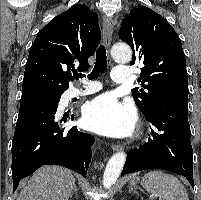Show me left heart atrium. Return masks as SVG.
Segmentation results:
<instances>
[{"label":"left heart atrium","instance_id":"left-heart-atrium-1","mask_svg":"<svg viewBox=\"0 0 201 200\" xmlns=\"http://www.w3.org/2000/svg\"><path fill=\"white\" fill-rule=\"evenodd\" d=\"M136 122L133 108L119 103L112 95H101L83 110L86 128L110 137H125L132 133Z\"/></svg>","mask_w":201,"mask_h":200}]
</instances>
